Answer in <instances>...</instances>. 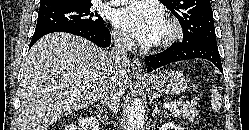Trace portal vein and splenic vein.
<instances>
[{
    "mask_svg": "<svg viewBox=\"0 0 249 130\" xmlns=\"http://www.w3.org/2000/svg\"><path fill=\"white\" fill-rule=\"evenodd\" d=\"M181 105V102L178 101V102H173V103H166L164 104V108H167V109H174V108H177L178 106Z\"/></svg>",
    "mask_w": 249,
    "mask_h": 130,
    "instance_id": "18ae733b",
    "label": "portal vein and splenic vein"
}]
</instances>
